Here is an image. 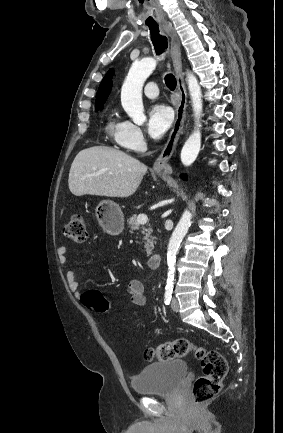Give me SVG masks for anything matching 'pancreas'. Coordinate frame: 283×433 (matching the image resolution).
<instances>
[{
  "mask_svg": "<svg viewBox=\"0 0 283 433\" xmlns=\"http://www.w3.org/2000/svg\"><path fill=\"white\" fill-rule=\"evenodd\" d=\"M127 223L129 225L130 233H133V231H139L140 225L137 221L136 214H132V217L128 219ZM143 231L145 233L144 239L146 241L145 251L147 253V257H149V255H152V247H154L155 237H151L152 229H143Z\"/></svg>",
  "mask_w": 283,
  "mask_h": 433,
  "instance_id": "1",
  "label": "pancreas"
}]
</instances>
